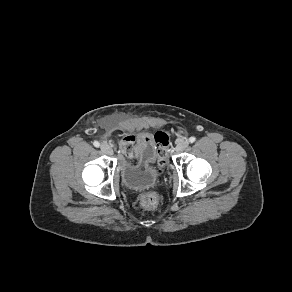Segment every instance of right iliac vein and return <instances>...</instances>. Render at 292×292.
<instances>
[{
    "label": "right iliac vein",
    "instance_id": "63e3f726",
    "mask_svg": "<svg viewBox=\"0 0 292 292\" xmlns=\"http://www.w3.org/2000/svg\"><path fill=\"white\" fill-rule=\"evenodd\" d=\"M100 148H101V151L105 154L111 155L113 153L112 148L106 143H102Z\"/></svg>",
    "mask_w": 292,
    "mask_h": 292
}]
</instances>
